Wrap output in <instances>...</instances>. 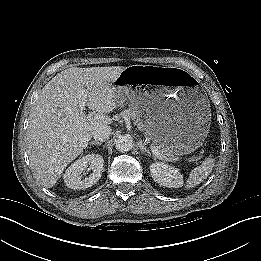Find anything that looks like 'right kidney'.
Here are the masks:
<instances>
[{"label":"right kidney","mask_w":261,"mask_h":261,"mask_svg":"<svg viewBox=\"0 0 261 261\" xmlns=\"http://www.w3.org/2000/svg\"><path fill=\"white\" fill-rule=\"evenodd\" d=\"M103 157L99 154H88L70 165L64 173V182L71 189H86L93 186L101 178ZM91 172L85 178L82 173Z\"/></svg>","instance_id":"1"}]
</instances>
